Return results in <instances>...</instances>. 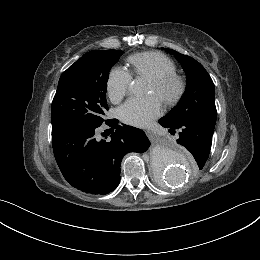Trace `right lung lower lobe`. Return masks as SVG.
I'll use <instances>...</instances> for the list:
<instances>
[{"instance_id": "right-lung-lower-lobe-1", "label": "right lung lower lobe", "mask_w": 260, "mask_h": 260, "mask_svg": "<svg viewBox=\"0 0 260 260\" xmlns=\"http://www.w3.org/2000/svg\"><path fill=\"white\" fill-rule=\"evenodd\" d=\"M111 140L96 139L100 125L68 126L52 131V145L57 164L70 185L83 192L105 195L120 182L122 158L128 152H145L150 142L146 134L118 120H107Z\"/></svg>"}]
</instances>
